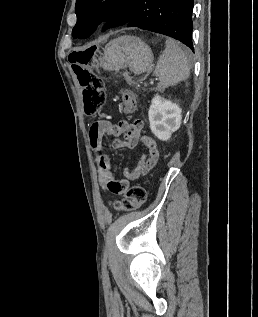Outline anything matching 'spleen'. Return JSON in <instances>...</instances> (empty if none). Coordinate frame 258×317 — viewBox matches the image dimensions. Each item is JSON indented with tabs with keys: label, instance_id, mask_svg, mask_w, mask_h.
Here are the masks:
<instances>
[{
	"label": "spleen",
	"instance_id": "spleen-1",
	"mask_svg": "<svg viewBox=\"0 0 258 317\" xmlns=\"http://www.w3.org/2000/svg\"><path fill=\"white\" fill-rule=\"evenodd\" d=\"M191 52L189 48H182L176 40L168 38L166 48L159 56L154 70L158 76V90L177 84L180 80L188 78L190 72Z\"/></svg>",
	"mask_w": 258,
	"mask_h": 317
}]
</instances>
